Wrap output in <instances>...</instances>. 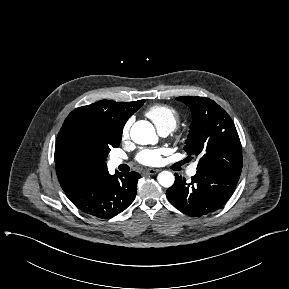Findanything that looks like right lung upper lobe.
<instances>
[{"label": "right lung upper lobe", "mask_w": 289, "mask_h": 289, "mask_svg": "<svg viewBox=\"0 0 289 289\" xmlns=\"http://www.w3.org/2000/svg\"><path fill=\"white\" fill-rule=\"evenodd\" d=\"M144 102L145 100L134 102L101 100L74 109L68 115L63 125L73 121H80L93 126H103L107 133L117 135L122 133V129L128 118L135 113ZM54 158L59 183L68 197L107 171L106 164L96 166L86 171H76L68 165L67 161L56 148Z\"/></svg>", "instance_id": "obj_1"}]
</instances>
